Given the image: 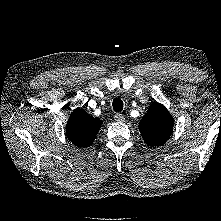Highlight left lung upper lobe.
<instances>
[{"label": "left lung upper lobe", "instance_id": "obj_1", "mask_svg": "<svg viewBox=\"0 0 221 221\" xmlns=\"http://www.w3.org/2000/svg\"><path fill=\"white\" fill-rule=\"evenodd\" d=\"M174 119L160 103H153L140 120L139 129L147 145L157 146L165 143L172 133Z\"/></svg>", "mask_w": 221, "mask_h": 221}]
</instances>
